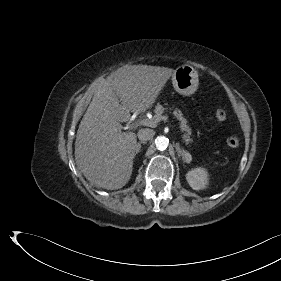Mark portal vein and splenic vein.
Here are the masks:
<instances>
[{"label":"portal vein and splenic vein","instance_id":"obj_1","mask_svg":"<svg viewBox=\"0 0 281 281\" xmlns=\"http://www.w3.org/2000/svg\"><path fill=\"white\" fill-rule=\"evenodd\" d=\"M162 120H167V116H162ZM156 121H154L153 119H143L140 124L144 125V126H156Z\"/></svg>","mask_w":281,"mask_h":281}]
</instances>
